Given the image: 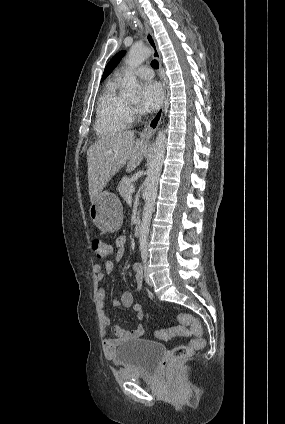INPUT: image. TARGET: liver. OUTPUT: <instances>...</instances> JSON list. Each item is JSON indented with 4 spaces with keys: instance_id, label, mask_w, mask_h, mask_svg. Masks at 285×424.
<instances>
[{
    "instance_id": "1",
    "label": "liver",
    "mask_w": 285,
    "mask_h": 424,
    "mask_svg": "<svg viewBox=\"0 0 285 424\" xmlns=\"http://www.w3.org/2000/svg\"><path fill=\"white\" fill-rule=\"evenodd\" d=\"M147 139H135L133 131H119L99 138L87 150L88 187L91 203L111 178L126 166L132 172L146 154Z\"/></svg>"
}]
</instances>
